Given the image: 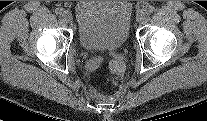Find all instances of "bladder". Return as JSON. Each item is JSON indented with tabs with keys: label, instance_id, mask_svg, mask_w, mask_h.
<instances>
[{
	"label": "bladder",
	"instance_id": "1",
	"mask_svg": "<svg viewBox=\"0 0 207 121\" xmlns=\"http://www.w3.org/2000/svg\"><path fill=\"white\" fill-rule=\"evenodd\" d=\"M133 8L129 1H79L78 39L87 51H115L128 38Z\"/></svg>",
	"mask_w": 207,
	"mask_h": 121
}]
</instances>
